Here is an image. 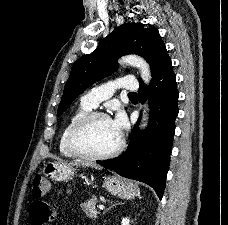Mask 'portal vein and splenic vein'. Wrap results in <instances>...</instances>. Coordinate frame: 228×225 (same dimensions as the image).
Segmentation results:
<instances>
[{"mask_svg": "<svg viewBox=\"0 0 228 225\" xmlns=\"http://www.w3.org/2000/svg\"><path fill=\"white\" fill-rule=\"evenodd\" d=\"M99 209H104L103 205H99Z\"/></svg>", "mask_w": 228, "mask_h": 225, "instance_id": "18ae733b", "label": "portal vein and splenic vein"}]
</instances>
